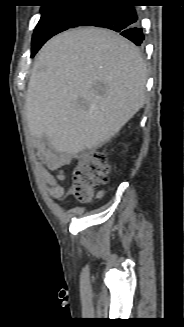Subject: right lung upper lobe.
Masks as SVG:
<instances>
[{
  "mask_svg": "<svg viewBox=\"0 0 184 327\" xmlns=\"http://www.w3.org/2000/svg\"><path fill=\"white\" fill-rule=\"evenodd\" d=\"M45 1H56V0H45ZM93 1H96V0H93Z\"/></svg>",
  "mask_w": 184,
  "mask_h": 327,
  "instance_id": "right-lung-upper-lobe-1",
  "label": "right lung upper lobe"
}]
</instances>
